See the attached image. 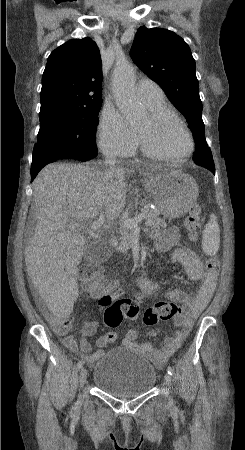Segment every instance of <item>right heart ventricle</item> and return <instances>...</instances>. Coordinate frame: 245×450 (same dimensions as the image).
<instances>
[{
  "mask_svg": "<svg viewBox=\"0 0 245 450\" xmlns=\"http://www.w3.org/2000/svg\"><path fill=\"white\" fill-rule=\"evenodd\" d=\"M147 107H148L151 111H153V110H159V109H169V110L173 111V110L170 109L169 107L165 106L164 101H162V102H160V103H157V104H154V105L147 106ZM173 112H174V111H173Z\"/></svg>",
  "mask_w": 245,
  "mask_h": 450,
  "instance_id": "1",
  "label": "right heart ventricle"
}]
</instances>
